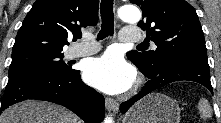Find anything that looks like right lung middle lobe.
Wrapping results in <instances>:
<instances>
[{"label":"right lung middle lobe","instance_id":"obj_1","mask_svg":"<svg viewBox=\"0 0 221 123\" xmlns=\"http://www.w3.org/2000/svg\"><path fill=\"white\" fill-rule=\"evenodd\" d=\"M61 51L29 50L12 53L9 75L28 70H42L45 72L65 73L71 68L61 59Z\"/></svg>","mask_w":221,"mask_h":123}]
</instances>
